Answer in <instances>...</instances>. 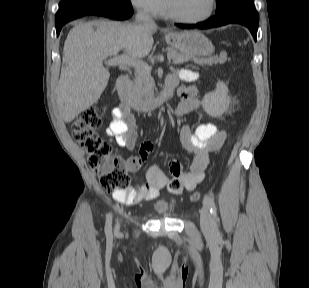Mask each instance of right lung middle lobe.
Wrapping results in <instances>:
<instances>
[{
	"instance_id": "dd1d6c3e",
	"label": "right lung middle lobe",
	"mask_w": 309,
	"mask_h": 288,
	"mask_svg": "<svg viewBox=\"0 0 309 288\" xmlns=\"http://www.w3.org/2000/svg\"><path fill=\"white\" fill-rule=\"evenodd\" d=\"M99 2L131 6L130 0H62L55 16V22L82 6Z\"/></svg>"
}]
</instances>
